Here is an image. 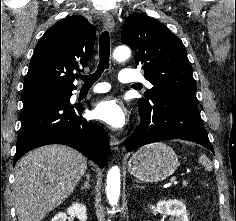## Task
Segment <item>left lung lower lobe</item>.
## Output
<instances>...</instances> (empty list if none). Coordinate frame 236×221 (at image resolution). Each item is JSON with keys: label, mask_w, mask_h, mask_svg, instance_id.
Wrapping results in <instances>:
<instances>
[{"label": "left lung lower lobe", "mask_w": 236, "mask_h": 221, "mask_svg": "<svg viewBox=\"0 0 236 221\" xmlns=\"http://www.w3.org/2000/svg\"><path fill=\"white\" fill-rule=\"evenodd\" d=\"M141 124L126 141V150L167 139H183L199 143L214 153L204 128L197 98L182 94H162L148 105H141Z\"/></svg>", "instance_id": "left-lung-lower-lobe-1"}]
</instances>
